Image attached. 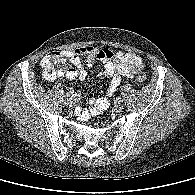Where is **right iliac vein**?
Returning <instances> with one entry per match:
<instances>
[{
  "label": "right iliac vein",
  "instance_id": "63e3f726",
  "mask_svg": "<svg viewBox=\"0 0 195 195\" xmlns=\"http://www.w3.org/2000/svg\"><path fill=\"white\" fill-rule=\"evenodd\" d=\"M65 105H66L68 108H70L72 105H74V102H73V100H72L71 98H69V99H67V100L65 101Z\"/></svg>",
  "mask_w": 195,
  "mask_h": 195
}]
</instances>
